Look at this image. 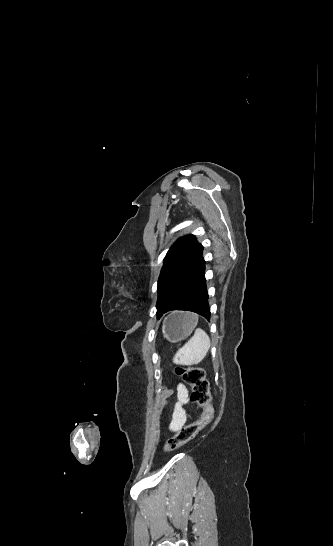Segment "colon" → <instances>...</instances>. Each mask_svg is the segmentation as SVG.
<instances>
[{
  "label": "colon",
  "instance_id": "colon-1",
  "mask_svg": "<svg viewBox=\"0 0 333 546\" xmlns=\"http://www.w3.org/2000/svg\"><path fill=\"white\" fill-rule=\"evenodd\" d=\"M177 375L191 386V401L202 409V416L199 420L183 426L175 435L170 437L164 446L166 452H171L180 446L191 441L201 430H203L214 418V408L210 401L209 384L205 371L197 366L177 367Z\"/></svg>",
  "mask_w": 333,
  "mask_h": 546
}]
</instances>
